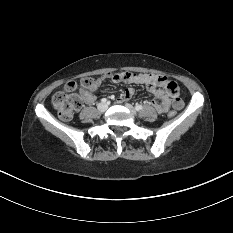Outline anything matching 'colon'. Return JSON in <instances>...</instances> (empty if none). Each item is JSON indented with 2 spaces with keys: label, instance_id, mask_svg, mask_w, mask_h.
Here are the masks:
<instances>
[{
  "label": "colon",
  "instance_id": "obj_1",
  "mask_svg": "<svg viewBox=\"0 0 233 233\" xmlns=\"http://www.w3.org/2000/svg\"><path fill=\"white\" fill-rule=\"evenodd\" d=\"M94 81L92 79H85L81 82V92H71L76 88L74 82L67 84V90L69 92H58L52 98V104L57 111L59 117L64 121L72 119L76 111L82 106V94L86 89L92 87ZM177 85V84H176ZM176 111L173 110L169 113L170 117H174Z\"/></svg>",
  "mask_w": 233,
  "mask_h": 233
}]
</instances>
